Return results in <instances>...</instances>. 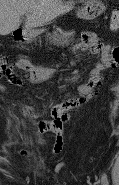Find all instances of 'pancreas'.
<instances>
[{"label":"pancreas","instance_id":"cf45deb5","mask_svg":"<svg viewBox=\"0 0 119 185\" xmlns=\"http://www.w3.org/2000/svg\"><path fill=\"white\" fill-rule=\"evenodd\" d=\"M74 32L66 33L63 31H55L52 34H47L49 44L64 47L69 44L70 38Z\"/></svg>","mask_w":119,"mask_h":185}]
</instances>
